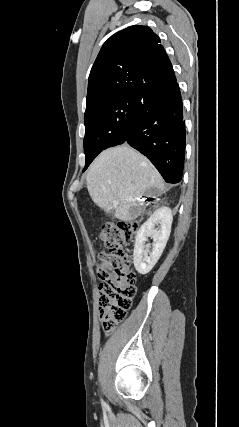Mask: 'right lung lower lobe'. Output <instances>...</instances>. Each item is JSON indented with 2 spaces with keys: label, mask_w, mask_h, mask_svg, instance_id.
Masks as SVG:
<instances>
[{
  "label": "right lung lower lobe",
  "mask_w": 239,
  "mask_h": 427,
  "mask_svg": "<svg viewBox=\"0 0 239 427\" xmlns=\"http://www.w3.org/2000/svg\"><path fill=\"white\" fill-rule=\"evenodd\" d=\"M185 136L182 97L175 79L139 97L123 143L144 154L166 182L178 183L183 174Z\"/></svg>",
  "instance_id": "98d812e1"
}]
</instances>
